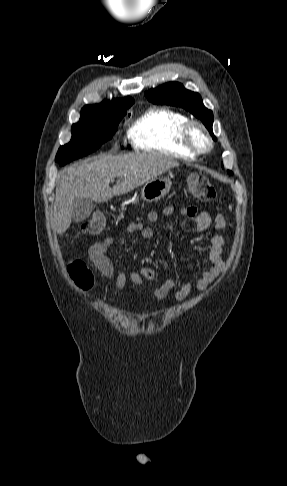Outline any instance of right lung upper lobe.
I'll return each mask as SVG.
<instances>
[{
    "label": "right lung upper lobe",
    "instance_id": "1",
    "mask_svg": "<svg viewBox=\"0 0 287 486\" xmlns=\"http://www.w3.org/2000/svg\"><path fill=\"white\" fill-rule=\"evenodd\" d=\"M134 103L131 97H124L120 99H113L112 101L104 100L100 104L86 105L81 111L87 110H101L108 113L121 114L126 113V109Z\"/></svg>",
    "mask_w": 287,
    "mask_h": 486
}]
</instances>
